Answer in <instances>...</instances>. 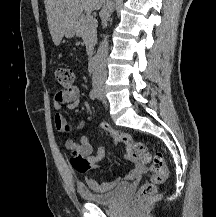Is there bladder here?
I'll return each mask as SVG.
<instances>
[{
  "label": "bladder",
  "mask_w": 216,
  "mask_h": 217,
  "mask_svg": "<svg viewBox=\"0 0 216 217\" xmlns=\"http://www.w3.org/2000/svg\"><path fill=\"white\" fill-rule=\"evenodd\" d=\"M125 190L126 186H121L107 193H94L82 188L80 189V194L86 202L98 205H110L115 203Z\"/></svg>",
  "instance_id": "obj_1"
}]
</instances>
